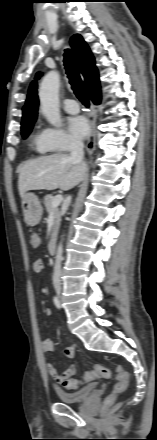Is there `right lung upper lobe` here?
<instances>
[{
    "label": "right lung upper lobe",
    "instance_id": "right-lung-upper-lobe-1",
    "mask_svg": "<svg viewBox=\"0 0 157 440\" xmlns=\"http://www.w3.org/2000/svg\"><path fill=\"white\" fill-rule=\"evenodd\" d=\"M70 44L73 48L79 69L85 78V83L88 88L90 97L100 95V84L98 78V71L95 66L94 57L85 43L81 35L75 34ZM41 74L37 75L36 79ZM37 83L33 81L29 88L26 105L23 107L22 124L34 123L37 117L38 97H37Z\"/></svg>",
    "mask_w": 157,
    "mask_h": 440
}]
</instances>
